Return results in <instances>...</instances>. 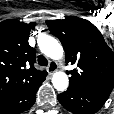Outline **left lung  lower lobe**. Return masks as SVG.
I'll return each instance as SVG.
<instances>
[{
	"mask_svg": "<svg viewBox=\"0 0 114 114\" xmlns=\"http://www.w3.org/2000/svg\"><path fill=\"white\" fill-rule=\"evenodd\" d=\"M108 95L90 90L70 87L58 95L61 105L74 114H94L100 110Z\"/></svg>",
	"mask_w": 114,
	"mask_h": 114,
	"instance_id": "0a47b994",
	"label": "left lung lower lobe"
}]
</instances>
